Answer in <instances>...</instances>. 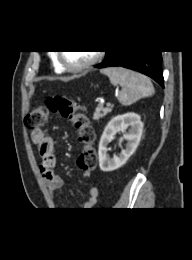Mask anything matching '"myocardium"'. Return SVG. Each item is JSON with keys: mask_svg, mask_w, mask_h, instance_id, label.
<instances>
[{"mask_svg": "<svg viewBox=\"0 0 192 260\" xmlns=\"http://www.w3.org/2000/svg\"><path fill=\"white\" fill-rule=\"evenodd\" d=\"M57 59L61 65V67L67 71H70V72H81V71H84L88 68H90L91 66H93L94 64H96L99 59H100V53L99 52H96L94 53V55L92 56L91 59H89L87 62L81 64V65H78V66H72V65H69L64 57H63V53L62 52H59L58 53V56H57Z\"/></svg>", "mask_w": 192, "mask_h": 260, "instance_id": "f54148a6", "label": "myocardium"}]
</instances>
